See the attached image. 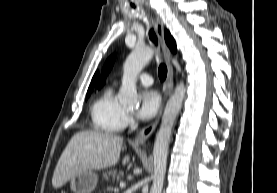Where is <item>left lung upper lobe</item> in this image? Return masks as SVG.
Masks as SVG:
<instances>
[{"mask_svg":"<svg viewBox=\"0 0 277 193\" xmlns=\"http://www.w3.org/2000/svg\"><path fill=\"white\" fill-rule=\"evenodd\" d=\"M115 58H116V55L113 54L112 56H110L107 59L105 65H104L103 71H102L101 78H100L99 83L97 85L98 88L102 87L104 85V83L106 82V76L110 72V70H111V68L114 64Z\"/></svg>","mask_w":277,"mask_h":193,"instance_id":"1","label":"left lung upper lobe"}]
</instances>
